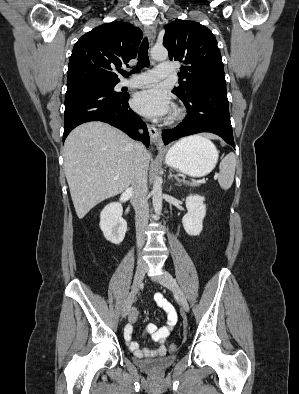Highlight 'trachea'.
Instances as JSON below:
<instances>
[{
    "label": "trachea",
    "instance_id": "1",
    "mask_svg": "<svg viewBox=\"0 0 299 394\" xmlns=\"http://www.w3.org/2000/svg\"><path fill=\"white\" fill-rule=\"evenodd\" d=\"M148 49H149L148 39L145 38L142 41L141 46L139 48L137 66L131 71V73H137L142 68L149 66ZM121 74L126 78L129 76V73L127 71H122Z\"/></svg>",
    "mask_w": 299,
    "mask_h": 394
}]
</instances>
